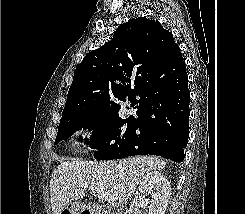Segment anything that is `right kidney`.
<instances>
[{"label":"right kidney","mask_w":245,"mask_h":214,"mask_svg":"<svg viewBox=\"0 0 245 214\" xmlns=\"http://www.w3.org/2000/svg\"><path fill=\"white\" fill-rule=\"evenodd\" d=\"M148 194H151L150 200L145 198ZM170 195L171 186L168 179L160 172H150L140 181L135 198L130 205L129 214H137L140 205L145 202L150 203L148 214H165Z\"/></svg>","instance_id":"ca27d5eb"}]
</instances>
